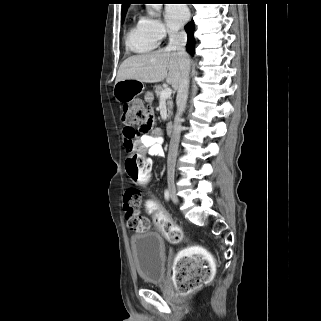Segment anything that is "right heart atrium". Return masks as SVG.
Segmentation results:
<instances>
[{"label":"right heart atrium","instance_id":"1","mask_svg":"<svg viewBox=\"0 0 321 321\" xmlns=\"http://www.w3.org/2000/svg\"><path fill=\"white\" fill-rule=\"evenodd\" d=\"M142 20L147 31L158 41L163 40L167 35L171 34V31L158 18L147 17Z\"/></svg>","mask_w":321,"mask_h":321}]
</instances>
